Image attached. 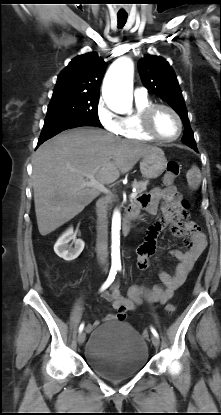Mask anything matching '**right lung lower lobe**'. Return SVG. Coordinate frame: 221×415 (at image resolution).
I'll list each match as a JSON object with an SVG mask.
<instances>
[{
	"mask_svg": "<svg viewBox=\"0 0 221 415\" xmlns=\"http://www.w3.org/2000/svg\"><path fill=\"white\" fill-rule=\"evenodd\" d=\"M80 126H98L99 125L80 118H63V117H46L44 126L41 131V135L38 139L37 147L49 138L57 135L58 133L75 127Z\"/></svg>",
	"mask_w": 221,
	"mask_h": 415,
	"instance_id": "1",
	"label": "right lung lower lobe"
}]
</instances>
